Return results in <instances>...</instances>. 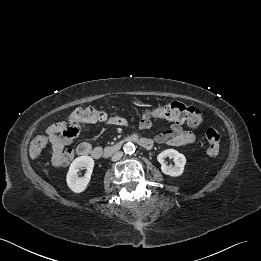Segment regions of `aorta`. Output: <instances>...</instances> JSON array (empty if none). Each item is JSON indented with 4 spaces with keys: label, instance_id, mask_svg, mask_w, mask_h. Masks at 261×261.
<instances>
[{
    "label": "aorta",
    "instance_id": "762f6f07",
    "mask_svg": "<svg viewBox=\"0 0 261 261\" xmlns=\"http://www.w3.org/2000/svg\"><path fill=\"white\" fill-rule=\"evenodd\" d=\"M123 150L126 154H133L135 152V145L131 142H128L124 145Z\"/></svg>",
    "mask_w": 261,
    "mask_h": 261
}]
</instances>
